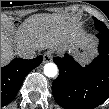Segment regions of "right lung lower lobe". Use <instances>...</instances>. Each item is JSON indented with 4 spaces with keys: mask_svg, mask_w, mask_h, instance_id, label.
I'll use <instances>...</instances> for the list:
<instances>
[{
    "mask_svg": "<svg viewBox=\"0 0 109 109\" xmlns=\"http://www.w3.org/2000/svg\"><path fill=\"white\" fill-rule=\"evenodd\" d=\"M42 60L41 55L31 60L14 59L1 68V107L15 98L26 75L39 66Z\"/></svg>",
    "mask_w": 109,
    "mask_h": 109,
    "instance_id": "1",
    "label": "right lung lower lobe"
}]
</instances>
